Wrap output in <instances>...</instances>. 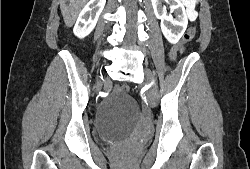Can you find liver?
<instances>
[{
	"mask_svg": "<svg viewBox=\"0 0 250 169\" xmlns=\"http://www.w3.org/2000/svg\"><path fill=\"white\" fill-rule=\"evenodd\" d=\"M86 2L88 0H60V8L66 26L74 24L81 8L85 6Z\"/></svg>",
	"mask_w": 250,
	"mask_h": 169,
	"instance_id": "obj_1",
	"label": "liver"
}]
</instances>
